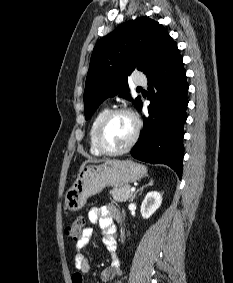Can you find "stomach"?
Here are the masks:
<instances>
[{
  "mask_svg": "<svg viewBox=\"0 0 233 283\" xmlns=\"http://www.w3.org/2000/svg\"><path fill=\"white\" fill-rule=\"evenodd\" d=\"M147 173L144 165L131 160H108L100 165L84 166L65 194V208L76 212L91 196L105 187L120 188L141 179Z\"/></svg>",
  "mask_w": 233,
  "mask_h": 283,
  "instance_id": "1",
  "label": "stomach"
}]
</instances>
